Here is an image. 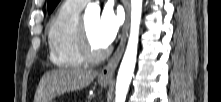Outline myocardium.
Segmentation results:
<instances>
[{"instance_id":"myocardium-1","label":"myocardium","mask_w":221,"mask_h":102,"mask_svg":"<svg viewBox=\"0 0 221 102\" xmlns=\"http://www.w3.org/2000/svg\"><path fill=\"white\" fill-rule=\"evenodd\" d=\"M78 44L85 61L92 63L99 62L104 59L109 51L107 47L94 48L92 46L83 20H80L79 23Z\"/></svg>"}]
</instances>
